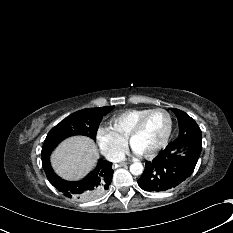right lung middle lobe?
Here are the masks:
<instances>
[{
    "label": "right lung middle lobe",
    "instance_id": "1",
    "mask_svg": "<svg viewBox=\"0 0 233 233\" xmlns=\"http://www.w3.org/2000/svg\"><path fill=\"white\" fill-rule=\"evenodd\" d=\"M113 107L84 109L62 120L47 134L41 151L42 158L50 156L53 148L67 137L84 135L96 140V133L102 117L110 112Z\"/></svg>",
    "mask_w": 233,
    "mask_h": 233
}]
</instances>
